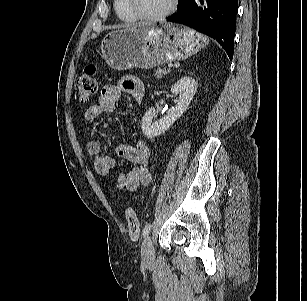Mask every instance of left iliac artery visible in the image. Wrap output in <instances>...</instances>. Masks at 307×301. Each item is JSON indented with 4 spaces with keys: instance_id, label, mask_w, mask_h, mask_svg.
Listing matches in <instances>:
<instances>
[{
    "instance_id": "44dca946",
    "label": "left iliac artery",
    "mask_w": 307,
    "mask_h": 301,
    "mask_svg": "<svg viewBox=\"0 0 307 301\" xmlns=\"http://www.w3.org/2000/svg\"><path fill=\"white\" fill-rule=\"evenodd\" d=\"M151 227H152V226H151L150 223H147V224L144 226L143 232H142L143 237L148 236V234H149L150 231H151Z\"/></svg>"
}]
</instances>
